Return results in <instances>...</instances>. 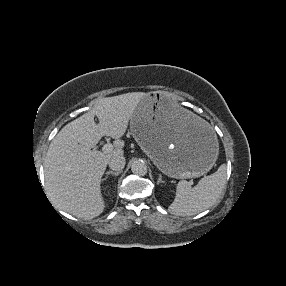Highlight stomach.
<instances>
[{
  "mask_svg": "<svg viewBox=\"0 0 286 286\" xmlns=\"http://www.w3.org/2000/svg\"><path fill=\"white\" fill-rule=\"evenodd\" d=\"M130 131L157 168L169 177H200L218 157L212 125L185 111L179 100L163 92L148 93L137 103Z\"/></svg>",
  "mask_w": 286,
  "mask_h": 286,
  "instance_id": "0dacf381",
  "label": "stomach"
}]
</instances>
